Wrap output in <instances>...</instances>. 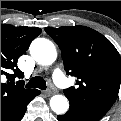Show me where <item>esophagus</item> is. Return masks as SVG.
I'll return each instance as SVG.
<instances>
[{
    "mask_svg": "<svg viewBox=\"0 0 121 121\" xmlns=\"http://www.w3.org/2000/svg\"><path fill=\"white\" fill-rule=\"evenodd\" d=\"M44 94H45L46 96H50V95L52 94V92H51L50 90H46V91H44Z\"/></svg>",
    "mask_w": 121,
    "mask_h": 121,
    "instance_id": "obj_1",
    "label": "esophagus"
}]
</instances>
